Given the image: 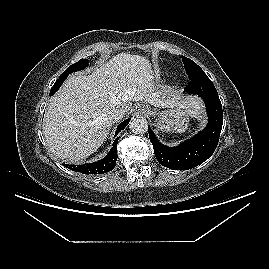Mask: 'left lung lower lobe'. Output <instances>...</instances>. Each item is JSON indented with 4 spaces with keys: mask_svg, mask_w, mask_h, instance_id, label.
<instances>
[{
    "mask_svg": "<svg viewBox=\"0 0 269 269\" xmlns=\"http://www.w3.org/2000/svg\"><path fill=\"white\" fill-rule=\"evenodd\" d=\"M185 92L197 94L205 102L209 122L203 131L176 147H167L159 142L148 127L149 138L158 162L175 170L191 169L206 161L217 147L223 124L222 105L214 84L207 76L191 81Z\"/></svg>",
    "mask_w": 269,
    "mask_h": 269,
    "instance_id": "left-lung-lower-lobe-1",
    "label": "left lung lower lobe"
}]
</instances>
